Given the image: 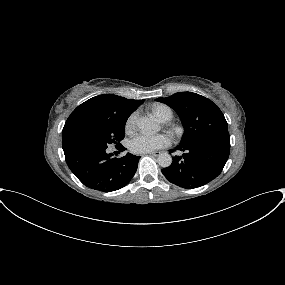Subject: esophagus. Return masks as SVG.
<instances>
[{"mask_svg": "<svg viewBox=\"0 0 285 285\" xmlns=\"http://www.w3.org/2000/svg\"><path fill=\"white\" fill-rule=\"evenodd\" d=\"M160 154H161V152H159V151L148 153V155H150V156H159Z\"/></svg>", "mask_w": 285, "mask_h": 285, "instance_id": "obj_1", "label": "esophagus"}]
</instances>
